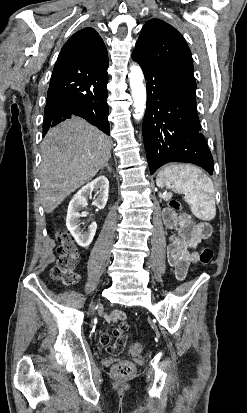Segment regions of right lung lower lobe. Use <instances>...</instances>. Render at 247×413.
Returning <instances> with one entry per match:
<instances>
[{"label":"right lung lower lobe","mask_w":247,"mask_h":413,"mask_svg":"<svg viewBox=\"0 0 247 413\" xmlns=\"http://www.w3.org/2000/svg\"><path fill=\"white\" fill-rule=\"evenodd\" d=\"M107 68L89 73L53 70L44 109L43 136L50 127L73 115L86 119L110 135Z\"/></svg>","instance_id":"1"}]
</instances>
